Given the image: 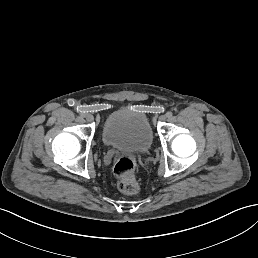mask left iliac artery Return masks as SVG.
<instances>
[{
	"mask_svg": "<svg viewBox=\"0 0 258 258\" xmlns=\"http://www.w3.org/2000/svg\"><path fill=\"white\" fill-rule=\"evenodd\" d=\"M172 115H173V113H172L171 111H168V112L166 113V116H167V117H172Z\"/></svg>",
	"mask_w": 258,
	"mask_h": 258,
	"instance_id": "1",
	"label": "left iliac artery"
}]
</instances>
